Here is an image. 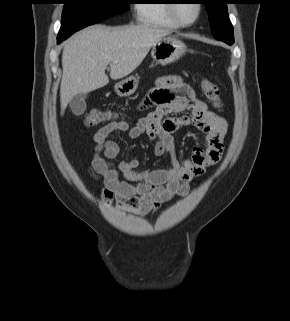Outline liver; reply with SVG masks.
I'll use <instances>...</instances> for the list:
<instances>
[{"label": "liver", "mask_w": 290, "mask_h": 321, "mask_svg": "<svg viewBox=\"0 0 290 321\" xmlns=\"http://www.w3.org/2000/svg\"><path fill=\"white\" fill-rule=\"evenodd\" d=\"M168 34L169 30L148 25H92L68 39L62 53L61 115L75 95L109 83L105 74L108 65L111 79L128 76L142 63L150 48Z\"/></svg>", "instance_id": "1"}]
</instances>
